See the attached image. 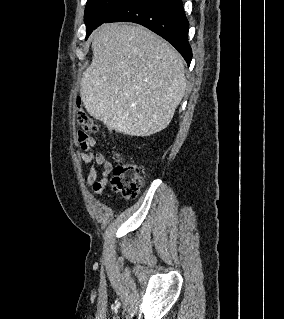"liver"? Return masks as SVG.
<instances>
[{
	"label": "liver",
	"mask_w": 284,
	"mask_h": 319,
	"mask_svg": "<svg viewBox=\"0 0 284 319\" xmlns=\"http://www.w3.org/2000/svg\"><path fill=\"white\" fill-rule=\"evenodd\" d=\"M91 47L80 87L87 112L131 136L165 129L185 93L180 54L145 27L119 23L97 28Z\"/></svg>",
	"instance_id": "obj_1"
}]
</instances>
